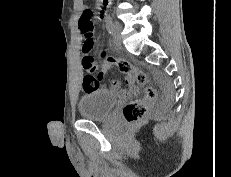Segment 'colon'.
<instances>
[{
	"label": "colon",
	"instance_id": "1",
	"mask_svg": "<svg viewBox=\"0 0 231 177\" xmlns=\"http://www.w3.org/2000/svg\"><path fill=\"white\" fill-rule=\"evenodd\" d=\"M79 27L84 37L82 44V64L87 72L83 78V89L88 92L100 86V81L96 75L98 66L96 60L91 55L94 48V25L92 21V12L90 10L82 14L79 19ZM106 60L112 65H115L121 73L130 76L135 83L144 87L143 97L131 101L123 109V114L127 122L135 123L140 121L147 113L150 103L156 97V91L149 85L147 74L134 67L125 59L107 57Z\"/></svg>",
	"mask_w": 231,
	"mask_h": 177
}]
</instances>
